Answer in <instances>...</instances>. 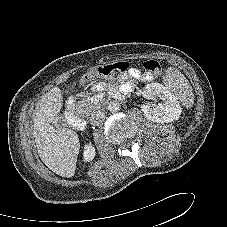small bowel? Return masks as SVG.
I'll list each match as a JSON object with an SVG mask.
<instances>
[{"mask_svg":"<svg viewBox=\"0 0 227 227\" xmlns=\"http://www.w3.org/2000/svg\"><path fill=\"white\" fill-rule=\"evenodd\" d=\"M130 75L136 79H139L141 77V74L138 70L136 69H133L131 70L130 72ZM104 88V85L102 83H98L96 86H95V89L96 90H102Z\"/></svg>","mask_w":227,"mask_h":227,"instance_id":"small-bowel-1","label":"small bowel"}]
</instances>
